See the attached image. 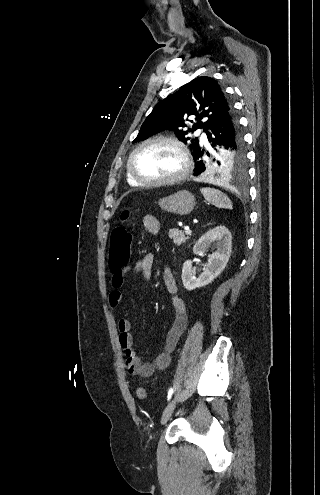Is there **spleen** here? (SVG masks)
<instances>
[{"label": "spleen", "instance_id": "3e777b00", "mask_svg": "<svg viewBox=\"0 0 320 495\" xmlns=\"http://www.w3.org/2000/svg\"><path fill=\"white\" fill-rule=\"evenodd\" d=\"M201 192L206 201H208L212 205L224 209L233 208L231 200L227 197L226 194L222 193L221 191L213 188H202Z\"/></svg>", "mask_w": 320, "mask_h": 495}]
</instances>
